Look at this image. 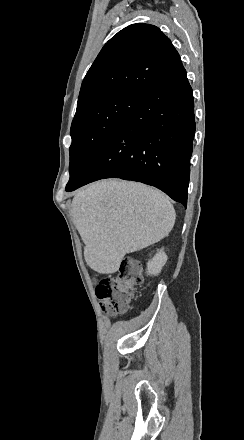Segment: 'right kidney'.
Segmentation results:
<instances>
[{
	"label": "right kidney",
	"mask_w": 244,
	"mask_h": 440,
	"mask_svg": "<svg viewBox=\"0 0 244 440\" xmlns=\"http://www.w3.org/2000/svg\"><path fill=\"white\" fill-rule=\"evenodd\" d=\"M167 260L168 256H166L165 252H163V250H158L156 256H154V258H152L147 264L148 276H158Z\"/></svg>",
	"instance_id": "ca27d5eb"
}]
</instances>
